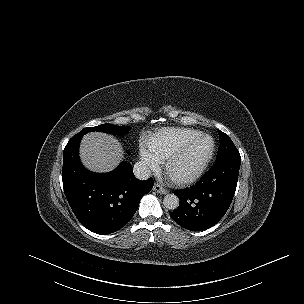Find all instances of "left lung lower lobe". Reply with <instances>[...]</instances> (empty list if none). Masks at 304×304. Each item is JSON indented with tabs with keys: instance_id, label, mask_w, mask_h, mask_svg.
I'll return each mask as SVG.
<instances>
[{
	"instance_id": "1",
	"label": "left lung lower lobe",
	"mask_w": 304,
	"mask_h": 304,
	"mask_svg": "<svg viewBox=\"0 0 304 304\" xmlns=\"http://www.w3.org/2000/svg\"><path fill=\"white\" fill-rule=\"evenodd\" d=\"M241 157H230L215 165L193 186L175 191L179 207L170 213L180 226L203 231L218 223L235 194Z\"/></svg>"
}]
</instances>
